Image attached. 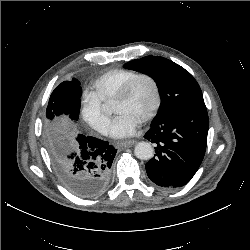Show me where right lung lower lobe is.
<instances>
[{
	"instance_id": "right-lung-lower-lobe-1",
	"label": "right lung lower lobe",
	"mask_w": 250,
	"mask_h": 250,
	"mask_svg": "<svg viewBox=\"0 0 250 250\" xmlns=\"http://www.w3.org/2000/svg\"><path fill=\"white\" fill-rule=\"evenodd\" d=\"M77 149L64 155L58 173L68 189L81 198L100 194L107 186L117 150L92 136L78 135Z\"/></svg>"
}]
</instances>
